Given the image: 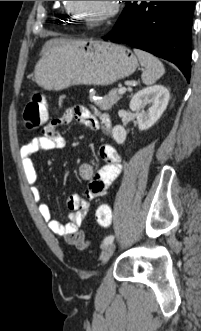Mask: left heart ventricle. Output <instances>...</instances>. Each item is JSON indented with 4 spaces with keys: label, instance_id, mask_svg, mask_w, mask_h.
Masks as SVG:
<instances>
[{
    "label": "left heart ventricle",
    "instance_id": "b2bd125f",
    "mask_svg": "<svg viewBox=\"0 0 201 331\" xmlns=\"http://www.w3.org/2000/svg\"><path fill=\"white\" fill-rule=\"evenodd\" d=\"M77 13L91 19L104 13L110 6V1H72Z\"/></svg>",
    "mask_w": 201,
    "mask_h": 331
}]
</instances>
